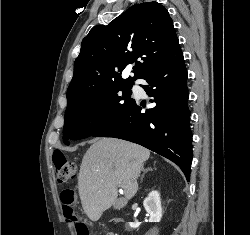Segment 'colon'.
I'll use <instances>...</instances> for the list:
<instances>
[{
    "label": "colon",
    "instance_id": "obj_1",
    "mask_svg": "<svg viewBox=\"0 0 250 235\" xmlns=\"http://www.w3.org/2000/svg\"><path fill=\"white\" fill-rule=\"evenodd\" d=\"M53 164L55 167V174L59 183H66L72 181L77 176V164L66 157L63 153L53 154ZM61 203L63 206L64 216L68 222L76 225L78 235H90L88 226L77 220L75 207H76V194L72 190H64L60 194ZM115 222H121L116 219Z\"/></svg>",
    "mask_w": 250,
    "mask_h": 235
}]
</instances>
